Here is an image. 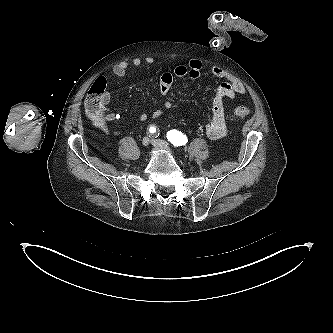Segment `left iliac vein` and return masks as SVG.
<instances>
[{
  "mask_svg": "<svg viewBox=\"0 0 333 333\" xmlns=\"http://www.w3.org/2000/svg\"><path fill=\"white\" fill-rule=\"evenodd\" d=\"M152 144H153L155 147H158V148H162V149H166V150H169V149H170L169 144H168L166 141H164V140L153 139V140H152Z\"/></svg>",
  "mask_w": 333,
  "mask_h": 333,
  "instance_id": "4c4485c4",
  "label": "left iliac vein"
}]
</instances>
